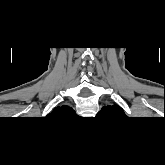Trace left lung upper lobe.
<instances>
[{
  "label": "left lung upper lobe",
  "mask_w": 165,
  "mask_h": 165,
  "mask_svg": "<svg viewBox=\"0 0 165 165\" xmlns=\"http://www.w3.org/2000/svg\"><path fill=\"white\" fill-rule=\"evenodd\" d=\"M101 114L104 115H111V116H124L123 109L118 105H112V106H104L101 111Z\"/></svg>",
  "instance_id": "5c2ea615"
}]
</instances>
